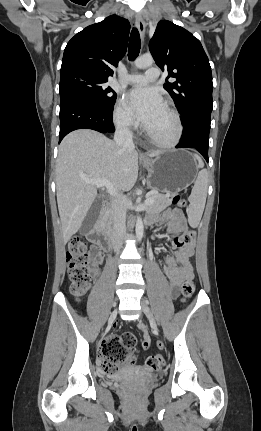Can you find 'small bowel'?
<instances>
[{"mask_svg": "<svg viewBox=\"0 0 261 431\" xmlns=\"http://www.w3.org/2000/svg\"><path fill=\"white\" fill-rule=\"evenodd\" d=\"M156 220L154 217L147 219L148 223H153ZM162 223H167L169 228L173 231L183 230L186 228L185 217L180 210L168 209L160 218ZM185 257L192 254V248L188 247L182 251ZM105 261L104 254L96 248L90 250V263L95 274H99L98 266ZM165 275L169 279L170 292L173 297L178 295V289L180 284L188 278H192L194 275L193 265L189 259H185L183 262L178 263L175 258L168 256L166 258V265L163 268ZM144 349L150 347V339L147 334L144 335L143 341ZM146 366H149L146 364Z\"/></svg>", "mask_w": 261, "mask_h": 431, "instance_id": "1", "label": "small bowel"}]
</instances>
